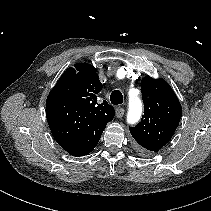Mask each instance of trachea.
<instances>
[{"mask_svg":"<svg viewBox=\"0 0 211 211\" xmlns=\"http://www.w3.org/2000/svg\"><path fill=\"white\" fill-rule=\"evenodd\" d=\"M110 101L114 105L123 103V95L119 90H114L110 95Z\"/></svg>","mask_w":211,"mask_h":211,"instance_id":"trachea-1","label":"trachea"}]
</instances>
